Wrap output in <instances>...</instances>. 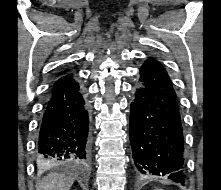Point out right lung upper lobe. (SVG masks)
Wrapping results in <instances>:
<instances>
[{
	"label": "right lung upper lobe",
	"instance_id": "cb5924a9",
	"mask_svg": "<svg viewBox=\"0 0 221 190\" xmlns=\"http://www.w3.org/2000/svg\"><path fill=\"white\" fill-rule=\"evenodd\" d=\"M66 73H67V70H64V71L60 72L57 77H60V76H62L64 74H66Z\"/></svg>",
	"mask_w": 221,
	"mask_h": 190
}]
</instances>
